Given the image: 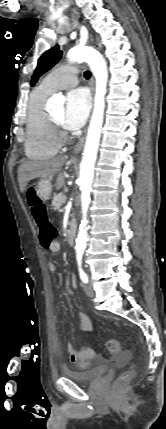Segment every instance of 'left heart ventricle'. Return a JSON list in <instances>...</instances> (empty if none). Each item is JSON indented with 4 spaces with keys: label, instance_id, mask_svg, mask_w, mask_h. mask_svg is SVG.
<instances>
[{
    "label": "left heart ventricle",
    "instance_id": "b2bd125f",
    "mask_svg": "<svg viewBox=\"0 0 166 429\" xmlns=\"http://www.w3.org/2000/svg\"><path fill=\"white\" fill-rule=\"evenodd\" d=\"M63 114H64V109L63 107H60L58 109H56L55 111H53L51 113V116L53 117V119L55 121H57L58 123H62V118H63Z\"/></svg>",
    "mask_w": 166,
    "mask_h": 429
}]
</instances>
